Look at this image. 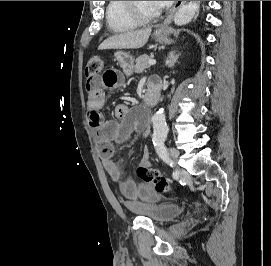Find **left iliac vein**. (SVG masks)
Wrapping results in <instances>:
<instances>
[{"label":"left iliac vein","mask_w":271,"mask_h":266,"mask_svg":"<svg viewBox=\"0 0 271 266\" xmlns=\"http://www.w3.org/2000/svg\"><path fill=\"white\" fill-rule=\"evenodd\" d=\"M170 158L173 163H176L179 158V152L176 149H170Z\"/></svg>","instance_id":"1"}]
</instances>
